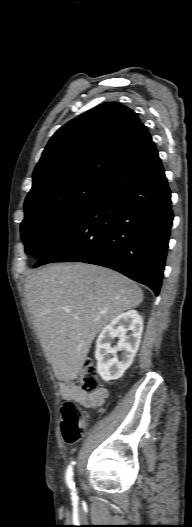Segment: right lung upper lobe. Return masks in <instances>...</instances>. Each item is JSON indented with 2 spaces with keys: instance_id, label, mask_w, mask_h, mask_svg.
<instances>
[{
  "instance_id": "right-lung-upper-lobe-1",
  "label": "right lung upper lobe",
  "mask_w": 192,
  "mask_h": 527,
  "mask_svg": "<svg viewBox=\"0 0 192 527\" xmlns=\"http://www.w3.org/2000/svg\"><path fill=\"white\" fill-rule=\"evenodd\" d=\"M151 142L133 110L117 102L101 104L52 136L34 170L26 200L86 179L107 182Z\"/></svg>"
}]
</instances>
